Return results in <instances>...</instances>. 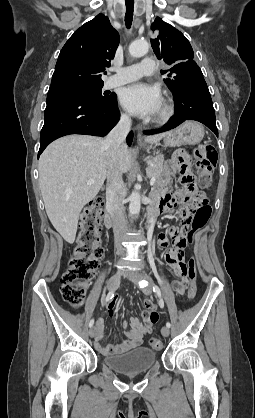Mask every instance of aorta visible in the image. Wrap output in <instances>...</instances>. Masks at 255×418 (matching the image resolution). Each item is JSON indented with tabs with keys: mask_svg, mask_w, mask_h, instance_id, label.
I'll list each match as a JSON object with an SVG mask.
<instances>
[{
	"mask_svg": "<svg viewBox=\"0 0 255 418\" xmlns=\"http://www.w3.org/2000/svg\"><path fill=\"white\" fill-rule=\"evenodd\" d=\"M149 50V44L147 41H134L129 46V53L133 57L144 56ZM129 211L131 215H138L141 207V197L137 190H134L130 195Z\"/></svg>",
	"mask_w": 255,
	"mask_h": 418,
	"instance_id": "762f6f07",
	"label": "aorta"
}]
</instances>
